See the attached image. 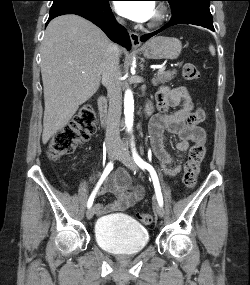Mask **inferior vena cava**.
<instances>
[{
  "label": "inferior vena cava",
  "mask_w": 250,
  "mask_h": 285,
  "mask_svg": "<svg viewBox=\"0 0 250 285\" xmlns=\"http://www.w3.org/2000/svg\"><path fill=\"white\" fill-rule=\"evenodd\" d=\"M120 51L117 45H112L101 63L102 83L107 88L109 110L107 116V144L120 141V118L122 110L121 71L119 67Z\"/></svg>",
  "instance_id": "obj_1"
}]
</instances>
